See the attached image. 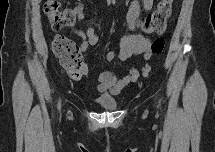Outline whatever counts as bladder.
Listing matches in <instances>:
<instances>
[{"label":"bladder","instance_id":"31cf9c89","mask_svg":"<svg viewBox=\"0 0 215 152\" xmlns=\"http://www.w3.org/2000/svg\"><path fill=\"white\" fill-rule=\"evenodd\" d=\"M97 105L103 110H115L118 107V102L112 97L102 96L98 98Z\"/></svg>","mask_w":215,"mask_h":152}]
</instances>
